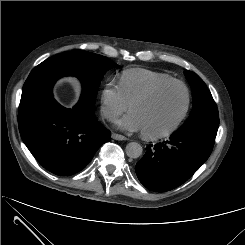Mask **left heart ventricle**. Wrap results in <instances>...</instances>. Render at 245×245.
I'll return each instance as SVG.
<instances>
[{
	"instance_id": "1",
	"label": "left heart ventricle",
	"mask_w": 245,
	"mask_h": 245,
	"mask_svg": "<svg viewBox=\"0 0 245 245\" xmlns=\"http://www.w3.org/2000/svg\"><path fill=\"white\" fill-rule=\"evenodd\" d=\"M185 101L183 88L172 85L161 89L150 100L135 105L131 112L138 117L144 132L159 133L176 122L184 109Z\"/></svg>"
}]
</instances>
